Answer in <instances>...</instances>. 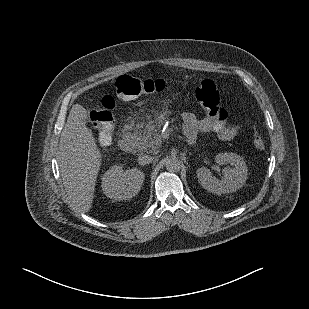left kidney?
<instances>
[{
    "label": "left kidney",
    "instance_id": "left-kidney-1",
    "mask_svg": "<svg viewBox=\"0 0 309 309\" xmlns=\"http://www.w3.org/2000/svg\"><path fill=\"white\" fill-rule=\"evenodd\" d=\"M215 161L219 165L229 164L223 170L221 180L213 176L212 172L205 166L197 169V178L201 186L216 195L234 192L240 189L247 180L248 168L244 159L236 153H218Z\"/></svg>",
    "mask_w": 309,
    "mask_h": 309
}]
</instances>
